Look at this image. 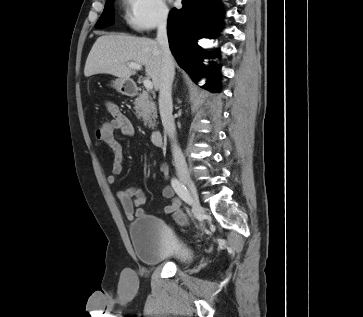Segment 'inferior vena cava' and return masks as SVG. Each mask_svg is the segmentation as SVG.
Here are the masks:
<instances>
[{
    "mask_svg": "<svg viewBox=\"0 0 363 317\" xmlns=\"http://www.w3.org/2000/svg\"><path fill=\"white\" fill-rule=\"evenodd\" d=\"M157 42L161 49L162 54V71L159 83V111L169 139L171 140L172 155L175 167L178 171L186 172L187 165L185 158L176 140V128L174 118L172 116V83L175 75L174 61L169 49L168 36H167V16L162 17L158 23L157 29Z\"/></svg>",
    "mask_w": 363,
    "mask_h": 317,
    "instance_id": "obj_1",
    "label": "inferior vena cava"
}]
</instances>
